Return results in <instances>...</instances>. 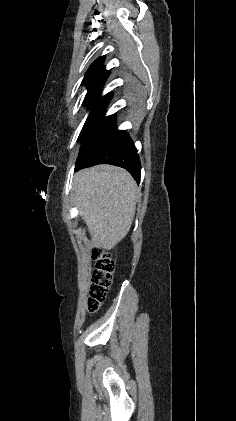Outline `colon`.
Returning <instances> with one entry per match:
<instances>
[{"mask_svg":"<svg viewBox=\"0 0 236 421\" xmlns=\"http://www.w3.org/2000/svg\"><path fill=\"white\" fill-rule=\"evenodd\" d=\"M93 258L96 261V266L87 302L88 311L91 313L99 311L102 303L107 298L115 271V263L106 252L96 249L93 251Z\"/></svg>","mask_w":236,"mask_h":421,"instance_id":"1","label":"colon"}]
</instances>
